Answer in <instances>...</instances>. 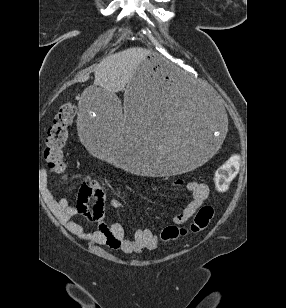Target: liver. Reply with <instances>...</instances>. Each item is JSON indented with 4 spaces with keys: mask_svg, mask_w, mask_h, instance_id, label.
Returning a JSON list of instances; mask_svg holds the SVG:
<instances>
[{
    "mask_svg": "<svg viewBox=\"0 0 286 308\" xmlns=\"http://www.w3.org/2000/svg\"><path fill=\"white\" fill-rule=\"evenodd\" d=\"M150 54L148 49L132 47L108 56L95 67L94 84L113 94L124 90L137 66Z\"/></svg>",
    "mask_w": 286,
    "mask_h": 308,
    "instance_id": "liver-1",
    "label": "liver"
}]
</instances>
